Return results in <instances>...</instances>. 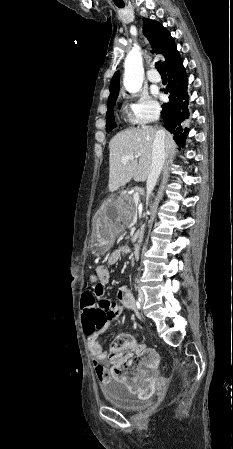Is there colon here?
Returning a JSON list of instances; mask_svg holds the SVG:
<instances>
[{
    "mask_svg": "<svg viewBox=\"0 0 233 449\" xmlns=\"http://www.w3.org/2000/svg\"><path fill=\"white\" fill-rule=\"evenodd\" d=\"M95 279L89 277L88 285L89 287L93 286L92 282ZM95 295H91L88 292H84L83 296L80 299L79 308L81 310L80 317L82 320L83 328H103L104 326V317H108L106 314V308H99L97 306V302L94 300ZM127 340L126 337H118L111 345L110 356H113L117 353V350L123 344V342ZM118 365L119 362H116ZM119 371V369H117Z\"/></svg>",
    "mask_w": 233,
    "mask_h": 449,
    "instance_id": "obj_1",
    "label": "colon"
}]
</instances>
